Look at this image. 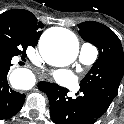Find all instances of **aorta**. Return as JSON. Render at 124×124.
I'll list each match as a JSON object with an SVG mask.
<instances>
[{
	"instance_id": "1",
	"label": "aorta",
	"mask_w": 124,
	"mask_h": 124,
	"mask_svg": "<svg viewBox=\"0 0 124 124\" xmlns=\"http://www.w3.org/2000/svg\"><path fill=\"white\" fill-rule=\"evenodd\" d=\"M39 51L45 61L53 66H67L77 57L79 43L76 36L66 29H49L39 41ZM26 69H17L11 74L13 84L25 88L24 73Z\"/></svg>"
}]
</instances>
